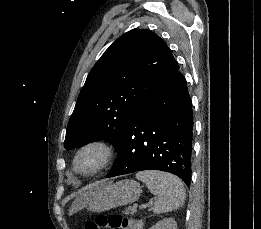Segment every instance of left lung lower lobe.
Listing matches in <instances>:
<instances>
[{
  "label": "left lung lower lobe",
  "mask_w": 261,
  "mask_h": 229,
  "mask_svg": "<svg viewBox=\"0 0 261 229\" xmlns=\"http://www.w3.org/2000/svg\"><path fill=\"white\" fill-rule=\"evenodd\" d=\"M192 103L185 77L177 70L144 101L116 149L106 177L157 169L191 180Z\"/></svg>",
  "instance_id": "0a47b994"
}]
</instances>
